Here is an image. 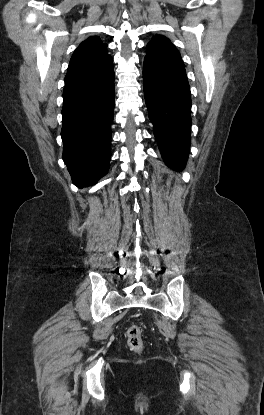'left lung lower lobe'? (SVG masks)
Segmentation results:
<instances>
[{
  "mask_svg": "<svg viewBox=\"0 0 264 415\" xmlns=\"http://www.w3.org/2000/svg\"><path fill=\"white\" fill-rule=\"evenodd\" d=\"M145 102L165 163L181 170L190 147L191 93L184 66L145 57Z\"/></svg>",
  "mask_w": 264,
  "mask_h": 415,
  "instance_id": "1",
  "label": "left lung lower lobe"
}]
</instances>
